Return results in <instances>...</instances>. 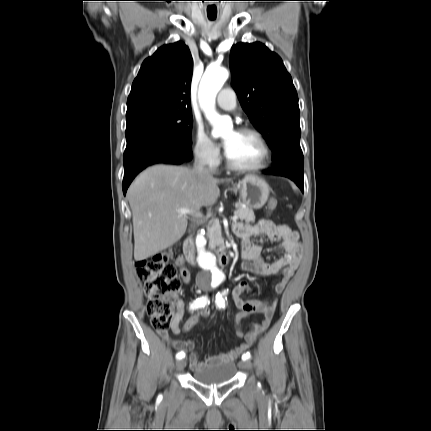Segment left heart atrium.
<instances>
[{"label":"left heart atrium","mask_w":431,"mask_h":431,"mask_svg":"<svg viewBox=\"0 0 431 431\" xmlns=\"http://www.w3.org/2000/svg\"><path fill=\"white\" fill-rule=\"evenodd\" d=\"M224 148H225L226 151L228 150V148H229V141H225L224 142Z\"/></svg>","instance_id":"obj_1"}]
</instances>
